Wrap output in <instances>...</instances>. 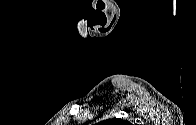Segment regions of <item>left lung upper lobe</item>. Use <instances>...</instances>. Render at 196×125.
I'll return each mask as SVG.
<instances>
[{"label":"left lung upper lobe","mask_w":196,"mask_h":125,"mask_svg":"<svg viewBox=\"0 0 196 125\" xmlns=\"http://www.w3.org/2000/svg\"><path fill=\"white\" fill-rule=\"evenodd\" d=\"M104 125H129L128 121L121 119H108L103 121Z\"/></svg>","instance_id":"5c2ea615"}]
</instances>
